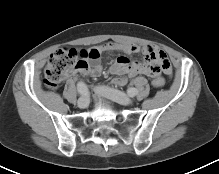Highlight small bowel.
I'll return each mask as SVG.
<instances>
[{"instance_id":"c3829d8e","label":"small bowel","mask_w":219,"mask_h":174,"mask_svg":"<svg viewBox=\"0 0 219 174\" xmlns=\"http://www.w3.org/2000/svg\"><path fill=\"white\" fill-rule=\"evenodd\" d=\"M92 50L97 51V57H91ZM111 52H120L123 54L122 56L118 57L109 68L110 73L122 75V77L114 80V84L116 85H125L127 83V77H135L137 75L156 77L161 71L169 75L172 73L168 58L166 57L165 53L157 47L152 45L140 47L133 44L123 43H108L98 46L95 49L83 50L81 53L85 55V58L76 71L85 76H98L102 71V66L99 59L100 54ZM135 53H142L147 63L132 62L129 57ZM152 58L154 60H152Z\"/></svg>"}]
</instances>
